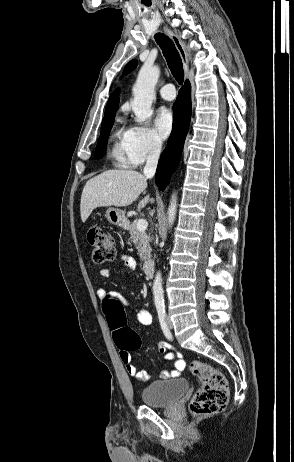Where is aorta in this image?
Segmentation results:
<instances>
[{"mask_svg": "<svg viewBox=\"0 0 294 462\" xmlns=\"http://www.w3.org/2000/svg\"><path fill=\"white\" fill-rule=\"evenodd\" d=\"M159 74L160 70L158 66L148 65H144L138 74V78L133 87L134 100L132 102V111L136 116L135 121L138 123H143L148 118H150L153 113L151 107L155 98L154 88L158 81ZM176 209L177 198L176 195L173 194L167 213L169 228L174 223ZM152 290L155 306L157 308L164 307V292L162 287V276L160 272L156 273Z\"/></svg>", "mask_w": 294, "mask_h": 462, "instance_id": "762f6f07", "label": "aorta"}]
</instances>
